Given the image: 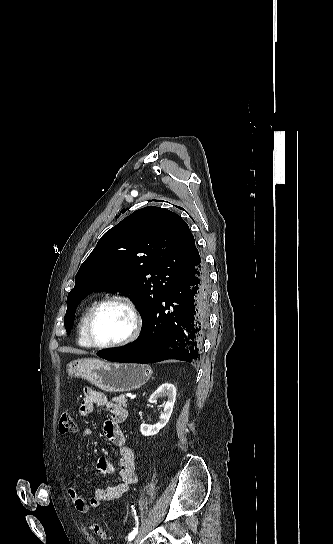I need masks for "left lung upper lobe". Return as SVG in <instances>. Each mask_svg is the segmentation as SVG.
Returning <instances> with one entry per match:
<instances>
[{
    "label": "left lung upper lobe",
    "mask_w": 333,
    "mask_h": 544,
    "mask_svg": "<svg viewBox=\"0 0 333 544\" xmlns=\"http://www.w3.org/2000/svg\"><path fill=\"white\" fill-rule=\"evenodd\" d=\"M200 260L194 237L179 215L154 206L135 211L107 231L81 265L67 297L66 330L73 326L78 304L97 291L129 293L146 318Z\"/></svg>",
    "instance_id": "1"
}]
</instances>
